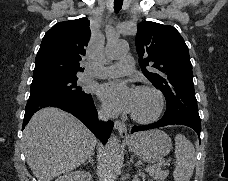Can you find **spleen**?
<instances>
[{
	"label": "spleen",
	"instance_id": "3e777b00",
	"mask_svg": "<svg viewBox=\"0 0 228 181\" xmlns=\"http://www.w3.org/2000/svg\"><path fill=\"white\" fill-rule=\"evenodd\" d=\"M175 157L174 181H190L196 163L195 149L184 135L175 137Z\"/></svg>",
	"mask_w": 228,
	"mask_h": 181
}]
</instances>
